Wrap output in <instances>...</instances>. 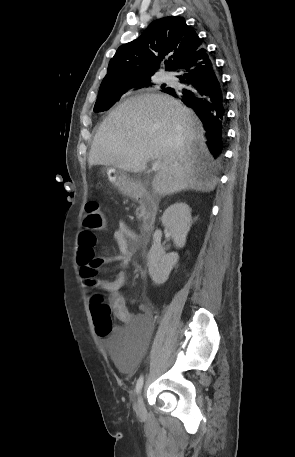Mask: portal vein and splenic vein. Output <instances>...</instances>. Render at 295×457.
Listing matches in <instances>:
<instances>
[{"label":"portal vein and splenic vein","instance_id":"portal-vein-and-splenic-vein-1","mask_svg":"<svg viewBox=\"0 0 295 457\" xmlns=\"http://www.w3.org/2000/svg\"><path fill=\"white\" fill-rule=\"evenodd\" d=\"M162 166V163L160 160L154 161L152 164V171H158Z\"/></svg>","mask_w":295,"mask_h":457}]
</instances>
